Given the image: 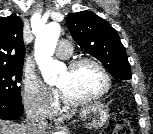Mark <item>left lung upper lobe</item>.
Here are the masks:
<instances>
[{"label":"left lung upper lobe","mask_w":153,"mask_h":134,"mask_svg":"<svg viewBox=\"0 0 153 134\" xmlns=\"http://www.w3.org/2000/svg\"><path fill=\"white\" fill-rule=\"evenodd\" d=\"M67 27L76 43L97 58L115 79H132L126 50L117 31L91 11L72 13Z\"/></svg>","instance_id":"5c2ea615"}]
</instances>
